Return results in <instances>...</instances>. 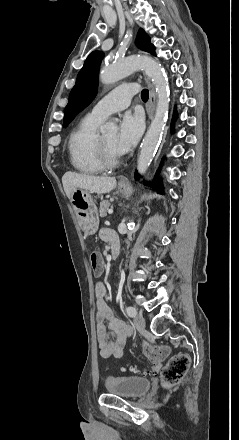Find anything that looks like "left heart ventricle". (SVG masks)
Returning <instances> with one entry per match:
<instances>
[{
  "instance_id": "b2bd125f",
  "label": "left heart ventricle",
  "mask_w": 239,
  "mask_h": 440,
  "mask_svg": "<svg viewBox=\"0 0 239 440\" xmlns=\"http://www.w3.org/2000/svg\"><path fill=\"white\" fill-rule=\"evenodd\" d=\"M103 143L105 144V146L113 153H116L114 150V141H115V132H107V133H103L100 134Z\"/></svg>"
}]
</instances>
